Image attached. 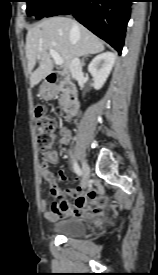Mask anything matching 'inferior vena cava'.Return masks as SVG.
<instances>
[{
	"mask_svg": "<svg viewBox=\"0 0 158 275\" xmlns=\"http://www.w3.org/2000/svg\"><path fill=\"white\" fill-rule=\"evenodd\" d=\"M69 70L72 74V77L77 79L80 76H82L83 72H82V62L80 61V59L78 57H74L71 60V63L69 65Z\"/></svg>",
	"mask_w": 158,
	"mask_h": 275,
	"instance_id": "obj_1",
	"label": "inferior vena cava"
}]
</instances>
